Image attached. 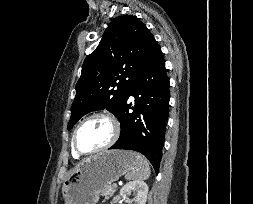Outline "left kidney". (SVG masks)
Returning <instances> with one entry per match:
<instances>
[{
  "label": "left kidney",
  "instance_id": "1",
  "mask_svg": "<svg viewBox=\"0 0 253 204\" xmlns=\"http://www.w3.org/2000/svg\"><path fill=\"white\" fill-rule=\"evenodd\" d=\"M133 193L134 198L131 200L129 196ZM148 194V186L144 181L135 180L124 185L120 190V196L127 203L146 204Z\"/></svg>",
  "mask_w": 253,
  "mask_h": 204
}]
</instances>
